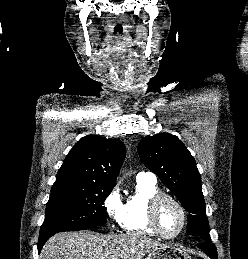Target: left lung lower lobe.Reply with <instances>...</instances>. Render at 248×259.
<instances>
[{
  "mask_svg": "<svg viewBox=\"0 0 248 259\" xmlns=\"http://www.w3.org/2000/svg\"><path fill=\"white\" fill-rule=\"evenodd\" d=\"M198 247L202 249L211 259H218L216 247L211 242H203L198 244Z\"/></svg>",
  "mask_w": 248,
  "mask_h": 259,
  "instance_id": "left-lung-lower-lobe-1",
  "label": "left lung lower lobe"
}]
</instances>
